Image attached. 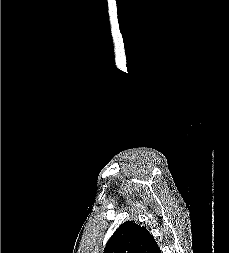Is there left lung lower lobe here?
Masks as SVG:
<instances>
[{"label":"left lung lower lobe","mask_w":229,"mask_h":253,"mask_svg":"<svg viewBox=\"0 0 229 253\" xmlns=\"http://www.w3.org/2000/svg\"><path fill=\"white\" fill-rule=\"evenodd\" d=\"M156 253H161L160 248H158V250L156 251Z\"/></svg>","instance_id":"0a47b994"}]
</instances>
